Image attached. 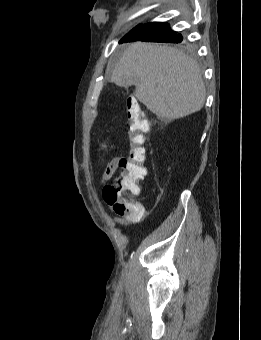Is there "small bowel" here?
<instances>
[{
	"label": "small bowel",
	"mask_w": 261,
	"mask_h": 340,
	"mask_svg": "<svg viewBox=\"0 0 261 340\" xmlns=\"http://www.w3.org/2000/svg\"><path fill=\"white\" fill-rule=\"evenodd\" d=\"M106 145L104 143H102L99 147V149L103 150L105 149ZM121 157L120 156H115L111 159V161L108 163V165L106 166L105 171L102 174L101 177V183H105L106 181L110 180L116 173V171L119 168V161H120ZM144 212L140 215H125L123 217H117L114 218V221L116 222V224L126 227L130 224L136 223L138 221H140V219L143 217Z\"/></svg>",
	"instance_id": "small-bowel-1"
}]
</instances>
